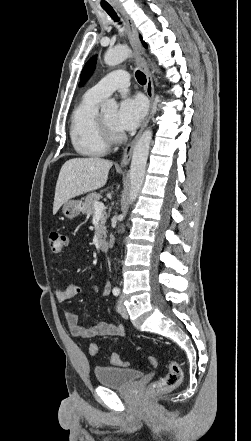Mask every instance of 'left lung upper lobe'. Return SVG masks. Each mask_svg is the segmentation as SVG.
<instances>
[{
    "instance_id": "5c2ea615",
    "label": "left lung upper lobe",
    "mask_w": 251,
    "mask_h": 441,
    "mask_svg": "<svg viewBox=\"0 0 251 441\" xmlns=\"http://www.w3.org/2000/svg\"><path fill=\"white\" fill-rule=\"evenodd\" d=\"M145 47H147L145 42H142ZM95 60L96 57H92L84 66L81 74V85L84 83V81L91 75L93 72L94 66H95Z\"/></svg>"
}]
</instances>
